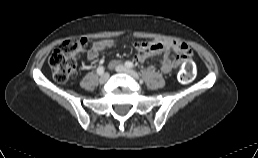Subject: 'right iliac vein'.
Returning <instances> with one entry per match:
<instances>
[{
    "mask_svg": "<svg viewBox=\"0 0 258 158\" xmlns=\"http://www.w3.org/2000/svg\"><path fill=\"white\" fill-rule=\"evenodd\" d=\"M108 79H109V74H108V73H104V74L100 77L99 82H100L101 84H104V83L107 82Z\"/></svg>",
    "mask_w": 258,
    "mask_h": 158,
    "instance_id": "right-iliac-vein-1",
    "label": "right iliac vein"
}]
</instances>
